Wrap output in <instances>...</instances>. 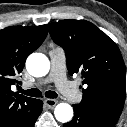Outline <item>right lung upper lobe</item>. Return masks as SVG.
<instances>
[{"instance_id": "right-lung-upper-lobe-1", "label": "right lung upper lobe", "mask_w": 127, "mask_h": 127, "mask_svg": "<svg viewBox=\"0 0 127 127\" xmlns=\"http://www.w3.org/2000/svg\"><path fill=\"white\" fill-rule=\"evenodd\" d=\"M48 26H11L0 30V127H24L36 111V99L19 95L11 86L26 58L44 41Z\"/></svg>"}]
</instances>
